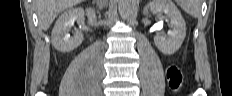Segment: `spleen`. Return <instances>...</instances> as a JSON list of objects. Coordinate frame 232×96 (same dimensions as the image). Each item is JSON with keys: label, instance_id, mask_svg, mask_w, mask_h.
<instances>
[{"label": "spleen", "instance_id": "3e777b00", "mask_svg": "<svg viewBox=\"0 0 232 96\" xmlns=\"http://www.w3.org/2000/svg\"><path fill=\"white\" fill-rule=\"evenodd\" d=\"M177 4L189 15L197 18L201 14L200 0H176Z\"/></svg>", "mask_w": 232, "mask_h": 96}]
</instances>
